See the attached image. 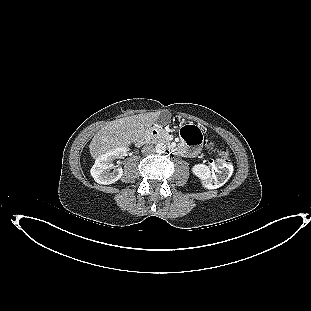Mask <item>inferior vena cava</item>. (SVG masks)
I'll return each mask as SVG.
<instances>
[{
	"mask_svg": "<svg viewBox=\"0 0 311 311\" xmlns=\"http://www.w3.org/2000/svg\"><path fill=\"white\" fill-rule=\"evenodd\" d=\"M141 152L145 155L153 154L155 152V149L152 145L147 144V145L143 146Z\"/></svg>",
	"mask_w": 311,
	"mask_h": 311,
	"instance_id": "602c4592",
	"label": "inferior vena cava"
}]
</instances>
